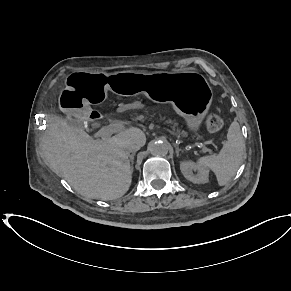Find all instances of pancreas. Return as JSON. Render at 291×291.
Here are the masks:
<instances>
[{
    "label": "pancreas",
    "mask_w": 291,
    "mask_h": 291,
    "mask_svg": "<svg viewBox=\"0 0 291 291\" xmlns=\"http://www.w3.org/2000/svg\"><path fill=\"white\" fill-rule=\"evenodd\" d=\"M134 120H139L142 122L156 121L163 123L164 125H168L174 132L178 134L183 136L187 135V133L181 129L176 119H172L158 108H145L141 111V113H135Z\"/></svg>",
    "instance_id": "cf45deb5"
}]
</instances>
